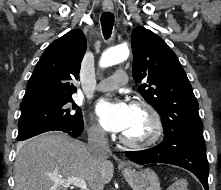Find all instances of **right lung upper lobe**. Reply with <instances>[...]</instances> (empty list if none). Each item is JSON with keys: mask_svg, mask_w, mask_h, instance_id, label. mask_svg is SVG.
<instances>
[{"mask_svg": "<svg viewBox=\"0 0 221 190\" xmlns=\"http://www.w3.org/2000/svg\"><path fill=\"white\" fill-rule=\"evenodd\" d=\"M85 51L86 39L80 29L53 41L38 61L20 106L71 97Z\"/></svg>", "mask_w": 221, "mask_h": 190, "instance_id": "right-lung-upper-lobe-1", "label": "right lung upper lobe"}]
</instances>
